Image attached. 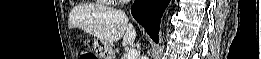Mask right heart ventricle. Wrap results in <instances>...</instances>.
<instances>
[{
	"label": "right heart ventricle",
	"mask_w": 261,
	"mask_h": 59,
	"mask_svg": "<svg viewBox=\"0 0 261 59\" xmlns=\"http://www.w3.org/2000/svg\"><path fill=\"white\" fill-rule=\"evenodd\" d=\"M104 2L108 3V2H111V0H108V1H107V0H106V1L104 0Z\"/></svg>",
	"instance_id": "right-heart-ventricle-1"
}]
</instances>
